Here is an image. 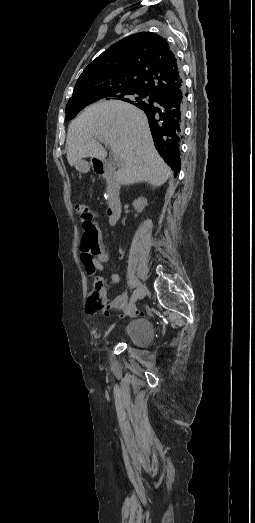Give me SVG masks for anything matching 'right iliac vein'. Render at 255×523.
<instances>
[{"instance_id":"obj_1","label":"right iliac vein","mask_w":255,"mask_h":523,"mask_svg":"<svg viewBox=\"0 0 255 523\" xmlns=\"http://www.w3.org/2000/svg\"><path fill=\"white\" fill-rule=\"evenodd\" d=\"M147 292V288L145 285H142L138 290H137V299L141 300L145 294Z\"/></svg>"}]
</instances>
